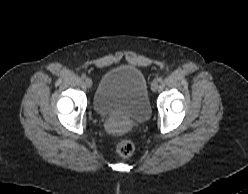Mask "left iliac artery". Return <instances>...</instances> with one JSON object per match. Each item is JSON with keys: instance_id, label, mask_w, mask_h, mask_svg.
<instances>
[{"instance_id": "44dca946", "label": "left iliac artery", "mask_w": 248, "mask_h": 194, "mask_svg": "<svg viewBox=\"0 0 248 194\" xmlns=\"http://www.w3.org/2000/svg\"><path fill=\"white\" fill-rule=\"evenodd\" d=\"M162 80H163L162 77L157 78V81H159V82H162Z\"/></svg>"}]
</instances>
